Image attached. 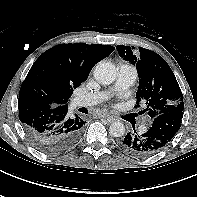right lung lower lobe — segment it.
I'll return each instance as SVG.
<instances>
[{"label": "right lung lower lobe", "mask_w": 197, "mask_h": 197, "mask_svg": "<svg viewBox=\"0 0 197 197\" xmlns=\"http://www.w3.org/2000/svg\"><path fill=\"white\" fill-rule=\"evenodd\" d=\"M19 119L27 136L50 154L72 148L80 139L85 122L68 113V106L52 107L41 99L20 94Z\"/></svg>", "instance_id": "obj_1"}]
</instances>
